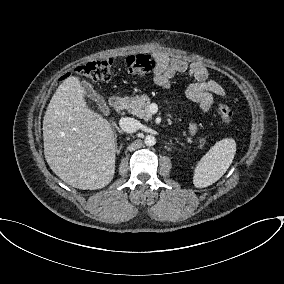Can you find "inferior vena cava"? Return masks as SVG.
Here are the masks:
<instances>
[{
  "instance_id": "602c4592",
  "label": "inferior vena cava",
  "mask_w": 284,
  "mask_h": 284,
  "mask_svg": "<svg viewBox=\"0 0 284 284\" xmlns=\"http://www.w3.org/2000/svg\"><path fill=\"white\" fill-rule=\"evenodd\" d=\"M120 128L126 133H133L139 128V122L130 117H122L119 121Z\"/></svg>"
}]
</instances>
